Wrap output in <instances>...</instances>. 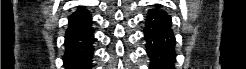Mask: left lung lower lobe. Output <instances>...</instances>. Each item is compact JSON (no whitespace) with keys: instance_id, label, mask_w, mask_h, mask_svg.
I'll list each match as a JSON object with an SVG mask.
<instances>
[{"instance_id":"1","label":"left lung lower lobe","mask_w":246,"mask_h":69,"mask_svg":"<svg viewBox=\"0 0 246 69\" xmlns=\"http://www.w3.org/2000/svg\"><path fill=\"white\" fill-rule=\"evenodd\" d=\"M150 69H172L176 57L171 18L164 11L150 9L144 28Z\"/></svg>"}]
</instances>
